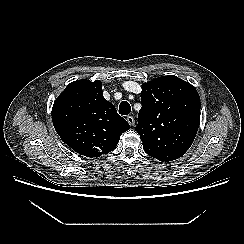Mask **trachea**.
I'll use <instances>...</instances> for the list:
<instances>
[{
  "label": "trachea",
  "instance_id": "trachea-1",
  "mask_svg": "<svg viewBox=\"0 0 244 244\" xmlns=\"http://www.w3.org/2000/svg\"><path fill=\"white\" fill-rule=\"evenodd\" d=\"M131 112V106L127 101H122L119 105V113L121 115H128Z\"/></svg>",
  "mask_w": 244,
  "mask_h": 244
}]
</instances>
